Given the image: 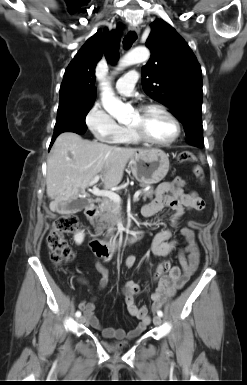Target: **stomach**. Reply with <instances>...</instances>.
<instances>
[{
    "instance_id": "stomach-1",
    "label": "stomach",
    "mask_w": 247,
    "mask_h": 385,
    "mask_svg": "<svg viewBox=\"0 0 247 385\" xmlns=\"http://www.w3.org/2000/svg\"><path fill=\"white\" fill-rule=\"evenodd\" d=\"M129 166L138 182L151 185L165 178L169 170V158L160 149H144L133 154Z\"/></svg>"
}]
</instances>
